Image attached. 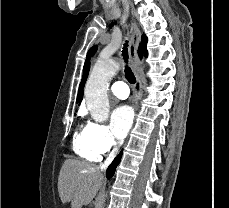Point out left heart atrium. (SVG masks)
<instances>
[{
	"instance_id": "obj_1",
	"label": "left heart atrium",
	"mask_w": 229,
	"mask_h": 208,
	"mask_svg": "<svg viewBox=\"0 0 229 208\" xmlns=\"http://www.w3.org/2000/svg\"><path fill=\"white\" fill-rule=\"evenodd\" d=\"M134 120L133 109L129 105L117 107L111 114V127L118 139H123L129 132Z\"/></svg>"
}]
</instances>
